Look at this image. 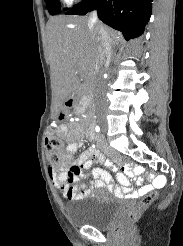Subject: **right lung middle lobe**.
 Listing matches in <instances>:
<instances>
[{"label": "right lung middle lobe", "instance_id": "right-lung-middle-lobe-1", "mask_svg": "<svg viewBox=\"0 0 183 246\" xmlns=\"http://www.w3.org/2000/svg\"><path fill=\"white\" fill-rule=\"evenodd\" d=\"M45 2L48 4V11L51 15H55L60 12V2L59 0H45ZM68 10V8L63 9Z\"/></svg>", "mask_w": 183, "mask_h": 246}]
</instances>
